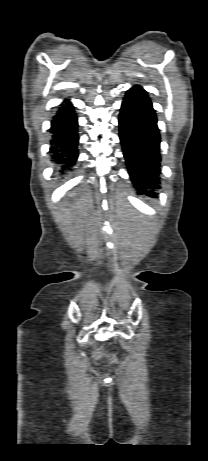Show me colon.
<instances>
[{
    "label": "colon",
    "instance_id": "colon-1",
    "mask_svg": "<svg viewBox=\"0 0 208 461\" xmlns=\"http://www.w3.org/2000/svg\"><path fill=\"white\" fill-rule=\"evenodd\" d=\"M94 356L96 359H101L105 356L104 352L102 351V349L100 348H97L94 352ZM111 360L114 361V358L111 357Z\"/></svg>",
    "mask_w": 208,
    "mask_h": 461
}]
</instances>
